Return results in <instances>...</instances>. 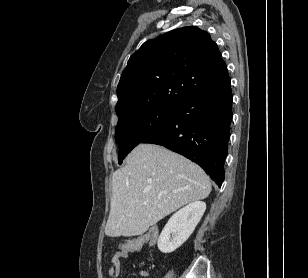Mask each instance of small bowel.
<instances>
[{"instance_id":"small-bowel-1","label":"small bowel","mask_w":308,"mask_h":278,"mask_svg":"<svg viewBox=\"0 0 308 278\" xmlns=\"http://www.w3.org/2000/svg\"><path fill=\"white\" fill-rule=\"evenodd\" d=\"M142 247H140L141 249ZM130 253H128V250H118L113 258H112V266L108 273V278H118L121 270V260L128 258ZM142 277H147L148 273L147 271L141 272Z\"/></svg>"}]
</instances>
